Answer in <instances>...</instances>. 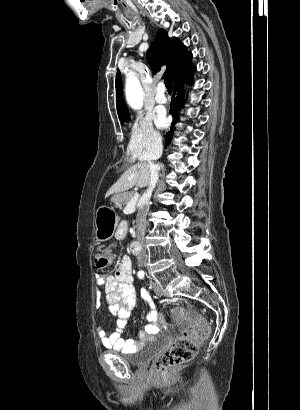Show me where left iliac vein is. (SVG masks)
Returning a JSON list of instances; mask_svg holds the SVG:
<instances>
[{
  "label": "left iliac vein",
  "mask_w": 300,
  "mask_h": 410,
  "mask_svg": "<svg viewBox=\"0 0 300 410\" xmlns=\"http://www.w3.org/2000/svg\"><path fill=\"white\" fill-rule=\"evenodd\" d=\"M152 285H153L155 293L159 296H162L163 292H162L160 285L157 282H152Z\"/></svg>",
  "instance_id": "4c4485c4"
}]
</instances>
